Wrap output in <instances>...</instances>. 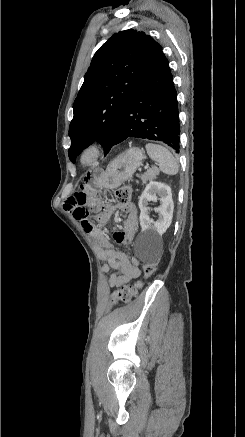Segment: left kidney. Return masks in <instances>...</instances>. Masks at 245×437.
Segmentation results:
<instances>
[{
  "label": "left kidney",
  "instance_id": "left-kidney-1",
  "mask_svg": "<svg viewBox=\"0 0 245 437\" xmlns=\"http://www.w3.org/2000/svg\"><path fill=\"white\" fill-rule=\"evenodd\" d=\"M160 200V206L154 208L158 213V220L154 221L149 217L150 201ZM140 225L144 236L158 238L169 228L172 222L174 202L170 186L156 181H151L139 198Z\"/></svg>",
  "mask_w": 245,
  "mask_h": 437
}]
</instances>
